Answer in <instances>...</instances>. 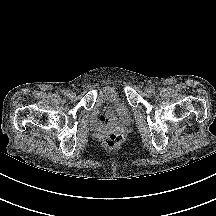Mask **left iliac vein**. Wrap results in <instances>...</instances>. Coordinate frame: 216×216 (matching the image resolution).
Returning a JSON list of instances; mask_svg holds the SVG:
<instances>
[{"instance_id": "1", "label": "left iliac vein", "mask_w": 216, "mask_h": 216, "mask_svg": "<svg viewBox=\"0 0 216 216\" xmlns=\"http://www.w3.org/2000/svg\"><path fill=\"white\" fill-rule=\"evenodd\" d=\"M153 91H152V86H148L145 88V93L146 94H151Z\"/></svg>"}]
</instances>
